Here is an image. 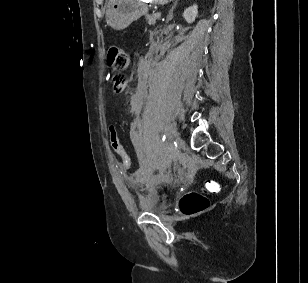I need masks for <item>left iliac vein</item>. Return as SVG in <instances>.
<instances>
[{
    "mask_svg": "<svg viewBox=\"0 0 308 283\" xmlns=\"http://www.w3.org/2000/svg\"><path fill=\"white\" fill-rule=\"evenodd\" d=\"M176 143L180 149L185 148V141L179 136L178 133H175Z\"/></svg>",
    "mask_w": 308,
    "mask_h": 283,
    "instance_id": "1",
    "label": "left iliac vein"
}]
</instances>
